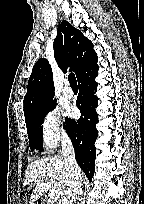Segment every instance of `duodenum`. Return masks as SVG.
<instances>
[{"mask_svg":"<svg viewBox=\"0 0 144 204\" xmlns=\"http://www.w3.org/2000/svg\"><path fill=\"white\" fill-rule=\"evenodd\" d=\"M36 204H47V202L44 200L38 199Z\"/></svg>","mask_w":144,"mask_h":204,"instance_id":"1","label":"duodenum"}]
</instances>
